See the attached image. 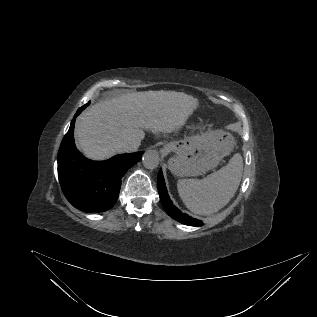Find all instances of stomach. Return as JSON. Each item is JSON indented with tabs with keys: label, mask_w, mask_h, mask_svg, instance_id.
Here are the masks:
<instances>
[{
	"label": "stomach",
	"mask_w": 317,
	"mask_h": 317,
	"mask_svg": "<svg viewBox=\"0 0 317 317\" xmlns=\"http://www.w3.org/2000/svg\"><path fill=\"white\" fill-rule=\"evenodd\" d=\"M235 144L234 137L223 130L210 131L166 143L164 149L174 152L169 159L171 172L180 177L199 176L215 168Z\"/></svg>",
	"instance_id": "obj_1"
}]
</instances>
